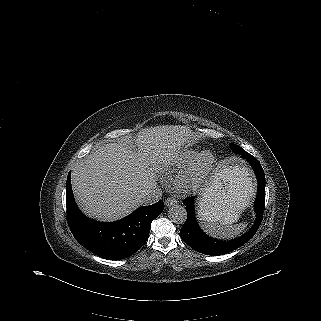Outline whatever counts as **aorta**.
<instances>
[{
	"instance_id": "762f6f07",
	"label": "aorta",
	"mask_w": 321,
	"mask_h": 321,
	"mask_svg": "<svg viewBox=\"0 0 321 321\" xmlns=\"http://www.w3.org/2000/svg\"><path fill=\"white\" fill-rule=\"evenodd\" d=\"M168 216L172 222L183 224L187 219V211L184 206L176 204L169 209Z\"/></svg>"
}]
</instances>
